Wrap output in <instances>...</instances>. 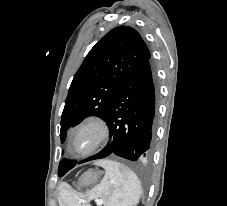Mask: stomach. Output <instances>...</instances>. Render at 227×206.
Here are the masks:
<instances>
[{"mask_svg": "<svg viewBox=\"0 0 227 206\" xmlns=\"http://www.w3.org/2000/svg\"><path fill=\"white\" fill-rule=\"evenodd\" d=\"M101 175H102V172L98 170L86 171L78 179V187L87 188V187L96 185Z\"/></svg>", "mask_w": 227, "mask_h": 206, "instance_id": "1", "label": "stomach"}]
</instances>
